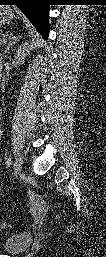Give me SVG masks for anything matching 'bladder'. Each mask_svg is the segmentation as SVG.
I'll return each mask as SVG.
<instances>
[{
	"mask_svg": "<svg viewBox=\"0 0 106 257\" xmlns=\"http://www.w3.org/2000/svg\"><path fill=\"white\" fill-rule=\"evenodd\" d=\"M33 237L29 232H22L8 237L3 243V249L10 255L24 252L32 243Z\"/></svg>",
	"mask_w": 106,
	"mask_h": 257,
	"instance_id": "obj_1",
	"label": "bladder"
}]
</instances>
